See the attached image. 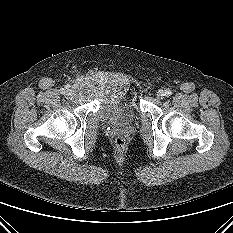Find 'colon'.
I'll return each mask as SVG.
<instances>
[{"label": "colon", "instance_id": "1", "mask_svg": "<svg viewBox=\"0 0 233 233\" xmlns=\"http://www.w3.org/2000/svg\"><path fill=\"white\" fill-rule=\"evenodd\" d=\"M114 145H115V147H116L117 150L122 151V150H124L125 147H126V141H125V139L122 138V137H117V138L115 139V141H114Z\"/></svg>", "mask_w": 233, "mask_h": 233}]
</instances>
